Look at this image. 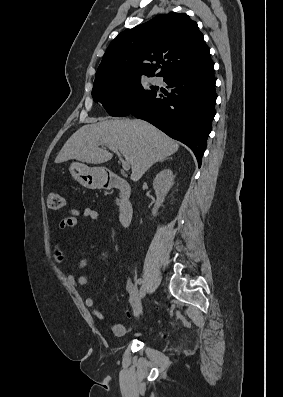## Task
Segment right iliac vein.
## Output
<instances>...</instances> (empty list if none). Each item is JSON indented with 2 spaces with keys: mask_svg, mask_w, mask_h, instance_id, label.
I'll return each mask as SVG.
<instances>
[{
  "mask_svg": "<svg viewBox=\"0 0 283 397\" xmlns=\"http://www.w3.org/2000/svg\"><path fill=\"white\" fill-rule=\"evenodd\" d=\"M146 290H147V284L144 283V284L141 286V289H140V293H139V297H138L139 300H141V299L145 296Z\"/></svg>",
  "mask_w": 283,
  "mask_h": 397,
  "instance_id": "1",
  "label": "right iliac vein"
}]
</instances>
